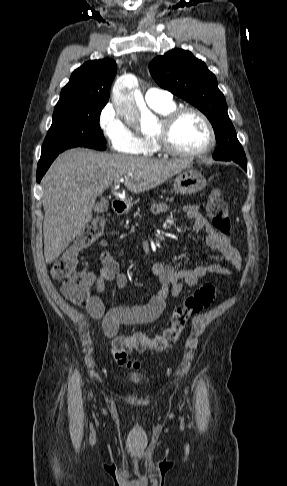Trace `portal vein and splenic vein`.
I'll list each match as a JSON object with an SVG mask.
<instances>
[{
	"label": "portal vein and splenic vein",
	"instance_id": "18ae733b",
	"mask_svg": "<svg viewBox=\"0 0 287 486\" xmlns=\"http://www.w3.org/2000/svg\"><path fill=\"white\" fill-rule=\"evenodd\" d=\"M120 182H124V179H123V178H121L120 180L115 181V182H114V184H115V185H119V183H120Z\"/></svg>",
	"mask_w": 287,
	"mask_h": 486
}]
</instances>
